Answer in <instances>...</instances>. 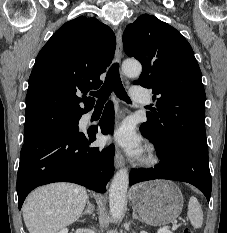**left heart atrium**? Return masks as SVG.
Segmentation results:
<instances>
[{
	"label": "left heart atrium",
	"mask_w": 227,
	"mask_h": 233,
	"mask_svg": "<svg viewBox=\"0 0 227 233\" xmlns=\"http://www.w3.org/2000/svg\"><path fill=\"white\" fill-rule=\"evenodd\" d=\"M108 139L131 155H139L143 150L142 139L129 121L117 126Z\"/></svg>",
	"instance_id": "1"
}]
</instances>
